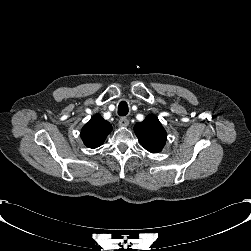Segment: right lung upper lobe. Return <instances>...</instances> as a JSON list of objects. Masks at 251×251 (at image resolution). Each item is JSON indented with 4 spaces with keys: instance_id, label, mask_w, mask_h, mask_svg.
Listing matches in <instances>:
<instances>
[{
    "instance_id": "1",
    "label": "right lung upper lobe",
    "mask_w": 251,
    "mask_h": 251,
    "mask_svg": "<svg viewBox=\"0 0 251 251\" xmlns=\"http://www.w3.org/2000/svg\"><path fill=\"white\" fill-rule=\"evenodd\" d=\"M111 130V124L96 114L82 128L81 138L87 147L97 148L103 144Z\"/></svg>"
}]
</instances>
